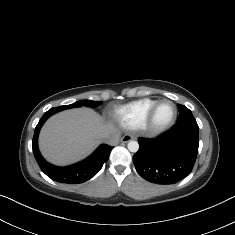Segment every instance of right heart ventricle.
Segmentation results:
<instances>
[{
	"label": "right heart ventricle",
	"instance_id": "right-heart-ventricle-1",
	"mask_svg": "<svg viewBox=\"0 0 235 235\" xmlns=\"http://www.w3.org/2000/svg\"><path fill=\"white\" fill-rule=\"evenodd\" d=\"M156 99L143 98L120 105L107 112L108 118L128 129H135L146 122L147 116Z\"/></svg>",
	"mask_w": 235,
	"mask_h": 235
}]
</instances>
